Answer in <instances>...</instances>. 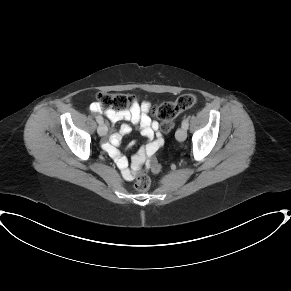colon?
<instances>
[{
    "instance_id": "obj_1",
    "label": "colon",
    "mask_w": 291,
    "mask_h": 291,
    "mask_svg": "<svg viewBox=\"0 0 291 291\" xmlns=\"http://www.w3.org/2000/svg\"><path fill=\"white\" fill-rule=\"evenodd\" d=\"M97 103L102 110L107 109H126L134 103L133 98L124 93H109L101 92L97 95ZM196 103V97L192 94H184L178 97L175 101L164 102L155 110L157 117L161 120V130L165 134H169L173 129V121L175 117L182 111L191 108ZM154 147V152L156 151ZM137 163V160H135ZM152 170L155 173L161 172V167L158 164L152 165ZM151 184L150 177L140 172L134 183V188L137 191H146Z\"/></svg>"
}]
</instances>
